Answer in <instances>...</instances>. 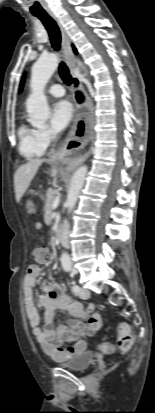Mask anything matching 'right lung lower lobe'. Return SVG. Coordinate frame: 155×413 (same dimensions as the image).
<instances>
[{"label":"right lung lower lobe","instance_id":"98d812e1","mask_svg":"<svg viewBox=\"0 0 155 413\" xmlns=\"http://www.w3.org/2000/svg\"><path fill=\"white\" fill-rule=\"evenodd\" d=\"M77 100H78L79 102H81V101L83 100V97H82V95H81L80 93L77 94Z\"/></svg>","mask_w":155,"mask_h":413}]
</instances>
